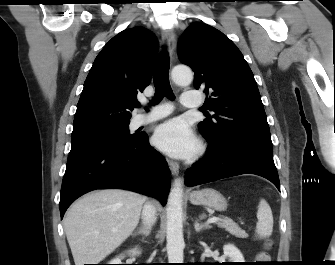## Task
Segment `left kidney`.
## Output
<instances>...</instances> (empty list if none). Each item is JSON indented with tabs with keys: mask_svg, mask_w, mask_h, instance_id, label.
<instances>
[{
	"mask_svg": "<svg viewBox=\"0 0 335 265\" xmlns=\"http://www.w3.org/2000/svg\"><path fill=\"white\" fill-rule=\"evenodd\" d=\"M224 256L229 258L230 262H244V257L240 250L233 244H226L223 247Z\"/></svg>",
	"mask_w": 335,
	"mask_h": 265,
	"instance_id": "left-kidney-1",
	"label": "left kidney"
}]
</instances>
